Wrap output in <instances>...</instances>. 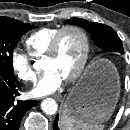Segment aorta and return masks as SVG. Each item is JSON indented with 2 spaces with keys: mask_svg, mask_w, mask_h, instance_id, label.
<instances>
[{
  "mask_svg": "<svg viewBox=\"0 0 130 130\" xmlns=\"http://www.w3.org/2000/svg\"><path fill=\"white\" fill-rule=\"evenodd\" d=\"M41 109L48 115H54L58 110V105L54 99L46 98L41 102Z\"/></svg>",
  "mask_w": 130,
  "mask_h": 130,
  "instance_id": "obj_1",
  "label": "aorta"
}]
</instances>
